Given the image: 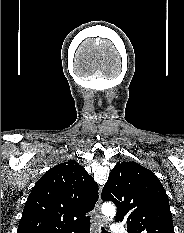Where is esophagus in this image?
<instances>
[{
  "instance_id": "1",
  "label": "esophagus",
  "mask_w": 184,
  "mask_h": 233,
  "mask_svg": "<svg viewBox=\"0 0 184 233\" xmlns=\"http://www.w3.org/2000/svg\"><path fill=\"white\" fill-rule=\"evenodd\" d=\"M100 205H101V198H99L97 204H96V214L95 217L92 220V229L93 233H99V229L102 225V215L100 213Z\"/></svg>"
}]
</instances>
